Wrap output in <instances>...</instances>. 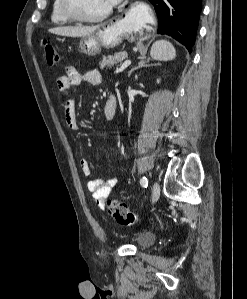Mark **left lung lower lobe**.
Returning a JSON list of instances; mask_svg holds the SVG:
<instances>
[{
  "instance_id": "0a47b994",
  "label": "left lung lower lobe",
  "mask_w": 247,
  "mask_h": 299,
  "mask_svg": "<svg viewBox=\"0 0 247 299\" xmlns=\"http://www.w3.org/2000/svg\"><path fill=\"white\" fill-rule=\"evenodd\" d=\"M159 18L158 33L167 34L192 51L202 0H149Z\"/></svg>"
}]
</instances>
